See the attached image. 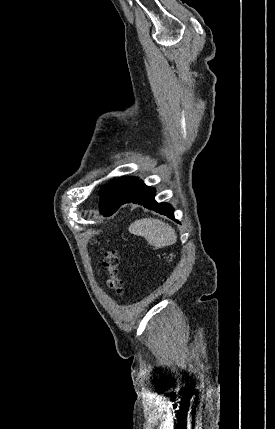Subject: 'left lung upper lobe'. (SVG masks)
I'll list each match as a JSON object with an SVG mask.
<instances>
[{"label":"left lung upper lobe","mask_w":275,"mask_h":429,"mask_svg":"<svg viewBox=\"0 0 275 429\" xmlns=\"http://www.w3.org/2000/svg\"><path fill=\"white\" fill-rule=\"evenodd\" d=\"M137 180L138 178L122 177L104 185L99 191V194L102 196L100 212L105 216L112 215L119 208L126 193Z\"/></svg>","instance_id":"obj_1"}]
</instances>
